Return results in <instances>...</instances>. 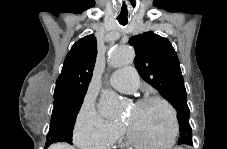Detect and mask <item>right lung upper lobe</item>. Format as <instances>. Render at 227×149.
I'll use <instances>...</instances> for the list:
<instances>
[{"instance_id":"cb5924a9","label":"right lung upper lobe","mask_w":227,"mask_h":149,"mask_svg":"<svg viewBox=\"0 0 227 149\" xmlns=\"http://www.w3.org/2000/svg\"><path fill=\"white\" fill-rule=\"evenodd\" d=\"M96 55L97 42L93 34L74 43L56 81L54 99L85 96L92 78Z\"/></svg>"}]
</instances>
